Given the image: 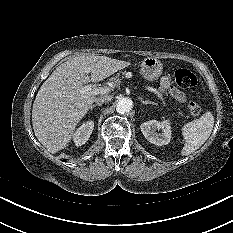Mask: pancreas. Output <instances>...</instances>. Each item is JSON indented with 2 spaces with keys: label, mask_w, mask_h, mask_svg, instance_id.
<instances>
[{
  "label": "pancreas",
  "mask_w": 233,
  "mask_h": 233,
  "mask_svg": "<svg viewBox=\"0 0 233 233\" xmlns=\"http://www.w3.org/2000/svg\"><path fill=\"white\" fill-rule=\"evenodd\" d=\"M110 83H111L113 86H118V85H120V83H121V76H120V74L118 73L116 76L111 77V78H110ZM179 114L182 115V112H179ZM188 117H189V116H187V118H188Z\"/></svg>",
  "instance_id": "cf45deb5"
}]
</instances>
